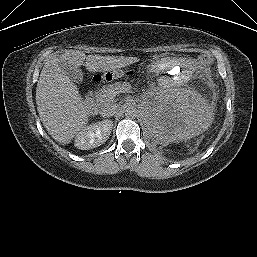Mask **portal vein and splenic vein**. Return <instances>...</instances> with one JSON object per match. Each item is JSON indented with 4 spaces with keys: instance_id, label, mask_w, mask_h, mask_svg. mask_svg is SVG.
<instances>
[{
    "instance_id": "portal-vein-and-splenic-vein-1",
    "label": "portal vein and splenic vein",
    "mask_w": 257,
    "mask_h": 257,
    "mask_svg": "<svg viewBox=\"0 0 257 257\" xmlns=\"http://www.w3.org/2000/svg\"><path fill=\"white\" fill-rule=\"evenodd\" d=\"M125 91H127V88H118L116 91H114V93L113 94H118V93H121V92H125Z\"/></svg>"
}]
</instances>
